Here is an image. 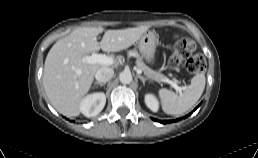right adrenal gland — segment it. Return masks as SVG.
<instances>
[{"mask_svg": "<svg viewBox=\"0 0 258 158\" xmlns=\"http://www.w3.org/2000/svg\"><path fill=\"white\" fill-rule=\"evenodd\" d=\"M106 83H99V82H95V86L99 85L100 87L104 86Z\"/></svg>", "mask_w": 258, "mask_h": 158, "instance_id": "2a0ac1e0", "label": "right adrenal gland"}]
</instances>
